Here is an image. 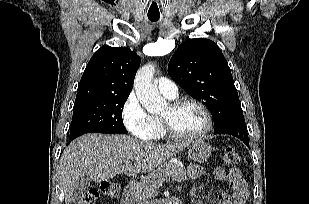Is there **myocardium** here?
I'll return each mask as SVG.
<instances>
[{
    "label": "myocardium",
    "mask_w": 309,
    "mask_h": 204,
    "mask_svg": "<svg viewBox=\"0 0 309 204\" xmlns=\"http://www.w3.org/2000/svg\"><path fill=\"white\" fill-rule=\"evenodd\" d=\"M187 103L195 104L202 110L205 116V121H206L205 127L201 132L197 134H193V135L180 134L174 130L168 118L161 116L160 123H161L162 129L164 133L167 134L173 140H183V141L198 140V139L205 137L212 130L213 120H212L211 112L208 109V107L204 103L199 101L198 99H195L192 97H184L180 99H175L169 103V107L171 110H176L182 105L187 104Z\"/></svg>",
    "instance_id": "obj_1"
}]
</instances>
